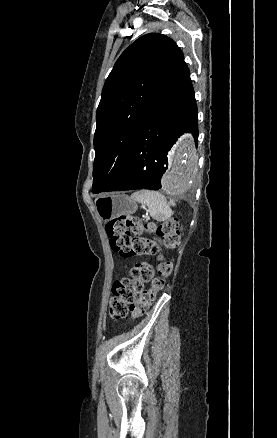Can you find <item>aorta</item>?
Here are the masks:
<instances>
[{
	"mask_svg": "<svg viewBox=\"0 0 277 438\" xmlns=\"http://www.w3.org/2000/svg\"><path fill=\"white\" fill-rule=\"evenodd\" d=\"M198 172V156L190 135L183 136L170 154V168L164 175L163 189L171 195L186 194L194 185Z\"/></svg>",
	"mask_w": 277,
	"mask_h": 438,
	"instance_id": "aorta-1",
	"label": "aorta"
}]
</instances>
